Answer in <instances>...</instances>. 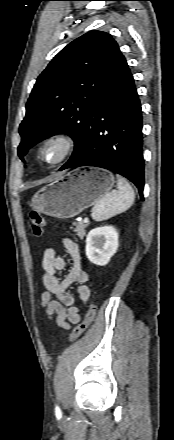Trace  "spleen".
Wrapping results in <instances>:
<instances>
[{
	"instance_id": "spleen-1",
	"label": "spleen",
	"mask_w": 174,
	"mask_h": 440,
	"mask_svg": "<svg viewBox=\"0 0 174 440\" xmlns=\"http://www.w3.org/2000/svg\"><path fill=\"white\" fill-rule=\"evenodd\" d=\"M117 188L97 201L91 216L95 221H104L128 210L134 203L135 194L126 179L117 175Z\"/></svg>"
}]
</instances>
